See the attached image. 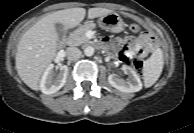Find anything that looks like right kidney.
I'll list each match as a JSON object with an SVG mask.
<instances>
[{
  "label": "right kidney",
  "mask_w": 194,
  "mask_h": 133,
  "mask_svg": "<svg viewBox=\"0 0 194 133\" xmlns=\"http://www.w3.org/2000/svg\"><path fill=\"white\" fill-rule=\"evenodd\" d=\"M68 75V67L66 65L56 66L49 65L42 76L40 89L44 94H53L60 90Z\"/></svg>",
  "instance_id": "1"
}]
</instances>
